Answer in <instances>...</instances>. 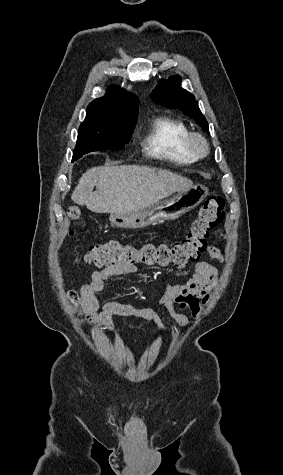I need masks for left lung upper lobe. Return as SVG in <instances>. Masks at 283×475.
I'll list each match as a JSON object with an SVG mask.
<instances>
[{
  "label": "left lung upper lobe",
  "instance_id": "1",
  "mask_svg": "<svg viewBox=\"0 0 283 475\" xmlns=\"http://www.w3.org/2000/svg\"><path fill=\"white\" fill-rule=\"evenodd\" d=\"M151 99L167 108L179 109L193 118L204 130L209 131L208 123L201 113L194 95L181 88V79L171 76L160 81L150 95Z\"/></svg>",
  "mask_w": 283,
  "mask_h": 475
}]
</instances>
